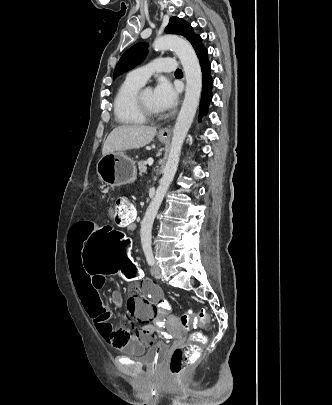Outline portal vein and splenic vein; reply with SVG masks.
Listing matches in <instances>:
<instances>
[{
  "label": "portal vein and splenic vein",
  "instance_id": "portal-vein-and-splenic-vein-1",
  "mask_svg": "<svg viewBox=\"0 0 332 405\" xmlns=\"http://www.w3.org/2000/svg\"><path fill=\"white\" fill-rule=\"evenodd\" d=\"M153 162H154L153 158H149L146 163H147L148 165H152Z\"/></svg>",
  "mask_w": 332,
  "mask_h": 405
}]
</instances>
